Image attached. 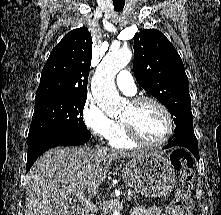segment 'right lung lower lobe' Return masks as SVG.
Segmentation results:
<instances>
[{
  "instance_id": "1",
  "label": "right lung lower lobe",
  "mask_w": 221,
  "mask_h": 215,
  "mask_svg": "<svg viewBox=\"0 0 221 215\" xmlns=\"http://www.w3.org/2000/svg\"><path fill=\"white\" fill-rule=\"evenodd\" d=\"M91 133H84L72 137H50L35 141L28 145L27 170L31 168L35 160L45 151L56 146H76L89 141Z\"/></svg>"
}]
</instances>
